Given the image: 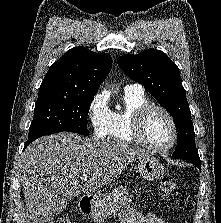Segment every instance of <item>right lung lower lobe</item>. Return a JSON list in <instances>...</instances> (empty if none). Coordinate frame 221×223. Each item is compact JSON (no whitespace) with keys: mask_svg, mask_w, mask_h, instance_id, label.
I'll list each match as a JSON object with an SVG mask.
<instances>
[{"mask_svg":"<svg viewBox=\"0 0 221 223\" xmlns=\"http://www.w3.org/2000/svg\"><path fill=\"white\" fill-rule=\"evenodd\" d=\"M30 143H31V141H27V142L25 143L24 149H25Z\"/></svg>","mask_w":221,"mask_h":223,"instance_id":"98d812e1","label":"right lung lower lobe"}]
</instances>
